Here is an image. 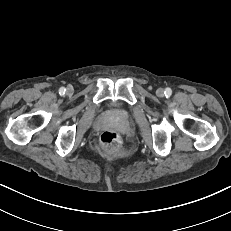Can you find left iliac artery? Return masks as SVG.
<instances>
[{"instance_id": "left-iliac-artery-1", "label": "left iliac artery", "mask_w": 231, "mask_h": 231, "mask_svg": "<svg viewBox=\"0 0 231 231\" xmlns=\"http://www.w3.org/2000/svg\"><path fill=\"white\" fill-rule=\"evenodd\" d=\"M164 93H165L166 96H170V95L172 94V90H171L170 88L167 87V88L165 89V92H164Z\"/></svg>"}]
</instances>
